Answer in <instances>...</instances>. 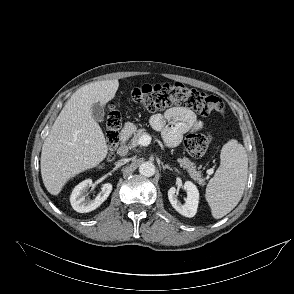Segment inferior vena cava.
<instances>
[{
	"mask_svg": "<svg viewBox=\"0 0 294 294\" xmlns=\"http://www.w3.org/2000/svg\"><path fill=\"white\" fill-rule=\"evenodd\" d=\"M128 160L127 159H122V160H120L119 162L121 163V164H124V163H126Z\"/></svg>",
	"mask_w": 294,
	"mask_h": 294,
	"instance_id": "602c4592",
	"label": "inferior vena cava"
}]
</instances>
